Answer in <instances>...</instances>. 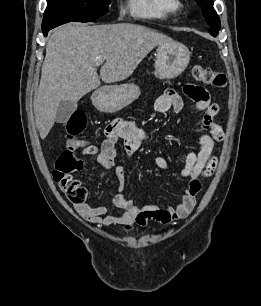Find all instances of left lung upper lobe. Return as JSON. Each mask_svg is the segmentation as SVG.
Returning a JSON list of instances; mask_svg holds the SVG:
<instances>
[{"instance_id":"obj_1","label":"left lung upper lobe","mask_w":261,"mask_h":306,"mask_svg":"<svg viewBox=\"0 0 261 306\" xmlns=\"http://www.w3.org/2000/svg\"><path fill=\"white\" fill-rule=\"evenodd\" d=\"M202 9V13L210 25L209 33L215 36L221 28L220 19L213 8V0H195Z\"/></svg>"}]
</instances>
